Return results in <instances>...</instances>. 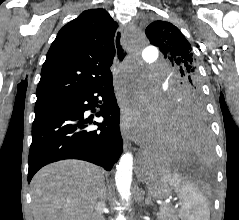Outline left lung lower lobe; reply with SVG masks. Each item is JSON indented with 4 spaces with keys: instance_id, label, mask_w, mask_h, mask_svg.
Wrapping results in <instances>:
<instances>
[{
    "instance_id": "1",
    "label": "left lung lower lobe",
    "mask_w": 239,
    "mask_h": 220,
    "mask_svg": "<svg viewBox=\"0 0 239 220\" xmlns=\"http://www.w3.org/2000/svg\"><path fill=\"white\" fill-rule=\"evenodd\" d=\"M164 117L167 141L153 159V166L197 164L212 158L205 112L197 109L180 112L168 108Z\"/></svg>"
}]
</instances>
